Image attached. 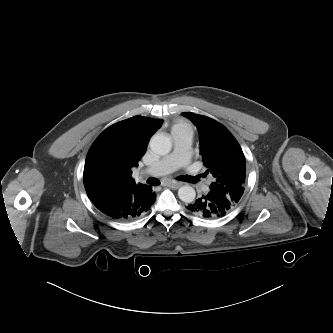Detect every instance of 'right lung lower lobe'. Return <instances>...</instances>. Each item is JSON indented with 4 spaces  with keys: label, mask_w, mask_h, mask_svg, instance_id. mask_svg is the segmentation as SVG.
<instances>
[{
    "label": "right lung lower lobe",
    "mask_w": 333,
    "mask_h": 333,
    "mask_svg": "<svg viewBox=\"0 0 333 333\" xmlns=\"http://www.w3.org/2000/svg\"><path fill=\"white\" fill-rule=\"evenodd\" d=\"M94 205L108 217L118 221H130L147 212L155 202L156 194L148 186L143 191L127 195L103 194L90 198Z\"/></svg>",
    "instance_id": "1"
}]
</instances>
